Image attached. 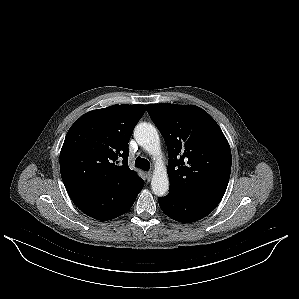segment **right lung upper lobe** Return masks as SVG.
I'll return each instance as SVG.
<instances>
[{
  "label": "right lung upper lobe",
  "instance_id": "obj_1",
  "mask_svg": "<svg viewBox=\"0 0 299 299\" xmlns=\"http://www.w3.org/2000/svg\"><path fill=\"white\" fill-rule=\"evenodd\" d=\"M145 110L144 105H113L87 112L71 126L60 152L68 193L120 184L130 197L142 188L144 181L128 167V142Z\"/></svg>",
  "mask_w": 299,
  "mask_h": 299
}]
</instances>
